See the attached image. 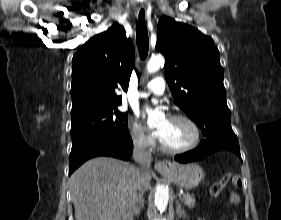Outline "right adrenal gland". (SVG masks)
<instances>
[{"mask_svg": "<svg viewBox=\"0 0 281 220\" xmlns=\"http://www.w3.org/2000/svg\"><path fill=\"white\" fill-rule=\"evenodd\" d=\"M144 207V198L142 194H138L136 207H135V216H139L140 210Z\"/></svg>", "mask_w": 281, "mask_h": 220, "instance_id": "1", "label": "right adrenal gland"}]
</instances>
